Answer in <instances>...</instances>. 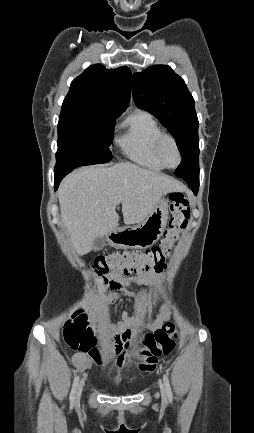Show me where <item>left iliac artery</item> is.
Listing matches in <instances>:
<instances>
[{"label": "left iliac artery", "mask_w": 254, "mask_h": 433, "mask_svg": "<svg viewBox=\"0 0 254 433\" xmlns=\"http://www.w3.org/2000/svg\"><path fill=\"white\" fill-rule=\"evenodd\" d=\"M163 381H164V385H165V388H166V393H167L168 399H169L170 402H172L173 395H172L169 379H168V377H167L166 374L163 375Z\"/></svg>", "instance_id": "obj_1"}]
</instances>
